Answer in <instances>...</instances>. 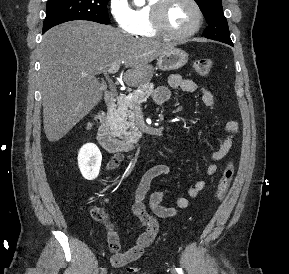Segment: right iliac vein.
Here are the masks:
<instances>
[{
  "label": "right iliac vein",
  "instance_id": "right-iliac-vein-1",
  "mask_svg": "<svg viewBox=\"0 0 289 274\" xmlns=\"http://www.w3.org/2000/svg\"><path fill=\"white\" fill-rule=\"evenodd\" d=\"M101 274H107V270H106V269H103V270L101 271Z\"/></svg>",
  "mask_w": 289,
  "mask_h": 274
}]
</instances>
